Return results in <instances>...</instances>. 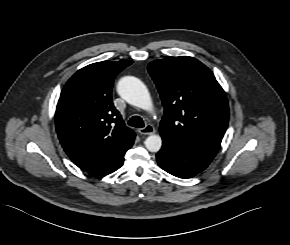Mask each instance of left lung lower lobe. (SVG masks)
<instances>
[{"mask_svg":"<svg viewBox=\"0 0 290 245\" xmlns=\"http://www.w3.org/2000/svg\"><path fill=\"white\" fill-rule=\"evenodd\" d=\"M163 139V146L156 154L159 166L166 172L179 177L191 178L203 171L213 156L178 145Z\"/></svg>","mask_w":290,"mask_h":245,"instance_id":"obj_1","label":"left lung lower lobe"}]
</instances>
